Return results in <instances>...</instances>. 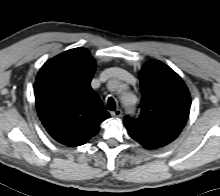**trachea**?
Listing matches in <instances>:
<instances>
[{
  "label": "trachea",
  "mask_w": 220,
  "mask_h": 196,
  "mask_svg": "<svg viewBox=\"0 0 220 196\" xmlns=\"http://www.w3.org/2000/svg\"><path fill=\"white\" fill-rule=\"evenodd\" d=\"M107 108L111 111H114L116 109V103H115V100L112 97L108 98Z\"/></svg>",
  "instance_id": "trachea-1"
}]
</instances>
